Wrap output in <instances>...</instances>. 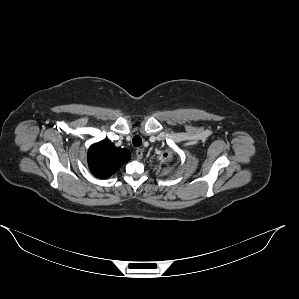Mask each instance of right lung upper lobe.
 <instances>
[{"mask_svg":"<svg viewBox=\"0 0 299 299\" xmlns=\"http://www.w3.org/2000/svg\"><path fill=\"white\" fill-rule=\"evenodd\" d=\"M129 160L130 154L126 149L115 147L108 140L93 144L88 150L89 168L96 177L101 179L111 176Z\"/></svg>","mask_w":299,"mask_h":299,"instance_id":"obj_1","label":"right lung upper lobe"}]
</instances>
